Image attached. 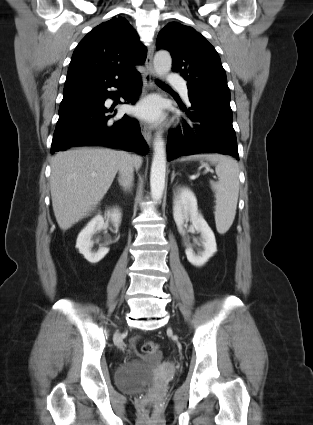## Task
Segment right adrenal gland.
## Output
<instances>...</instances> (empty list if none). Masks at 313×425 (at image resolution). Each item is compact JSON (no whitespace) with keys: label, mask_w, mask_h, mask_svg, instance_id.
Wrapping results in <instances>:
<instances>
[{"label":"right adrenal gland","mask_w":313,"mask_h":425,"mask_svg":"<svg viewBox=\"0 0 313 425\" xmlns=\"http://www.w3.org/2000/svg\"><path fill=\"white\" fill-rule=\"evenodd\" d=\"M118 182H119V184L121 185V183H120V180L118 179Z\"/></svg>","instance_id":"obj_1"}]
</instances>
